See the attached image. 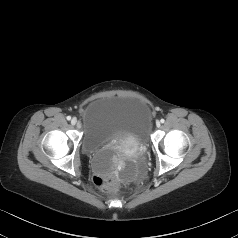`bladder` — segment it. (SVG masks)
Returning <instances> with one entry per match:
<instances>
[{"instance_id":"obj_1","label":"bladder","mask_w":238,"mask_h":238,"mask_svg":"<svg viewBox=\"0 0 238 238\" xmlns=\"http://www.w3.org/2000/svg\"><path fill=\"white\" fill-rule=\"evenodd\" d=\"M82 149L92 169L110 174L116 169L112 147L127 141L145 145L151 126V108L137 96L104 95L89 101L81 112Z\"/></svg>"}]
</instances>
